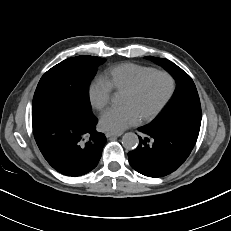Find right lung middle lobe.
<instances>
[{
    "label": "right lung middle lobe",
    "mask_w": 231,
    "mask_h": 231,
    "mask_svg": "<svg viewBox=\"0 0 231 231\" xmlns=\"http://www.w3.org/2000/svg\"><path fill=\"white\" fill-rule=\"evenodd\" d=\"M105 59L77 56L48 70L40 79L32 102V118L45 114L93 116L87 89L97 66Z\"/></svg>",
    "instance_id": "obj_1"
}]
</instances>
